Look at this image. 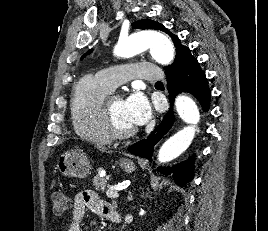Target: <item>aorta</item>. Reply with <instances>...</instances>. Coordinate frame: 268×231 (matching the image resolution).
<instances>
[{
  "label": "aorta",
  "instance_id": "1",
  "mask_svg": "<svg viewBox=\"0 0 268 231\" xmlns=\"http://www.w3.org/2000/svg\"><path fill=\"white\" fill-rule=\"evenodd\" d=\"M146 49H149L152 58L162 65H169L174 59L173 43L158 32H139L119 39L114 54L120 58H130ZM175 106L179 117L190 125L176 132L161 146L158 153V161L161 163L177 158L190 146L200 120L197 105L191 98L179 95L175 100Z\"/></svg>",
  "mask_w": 268,
  "mask_h": 231
}]
</instances>
